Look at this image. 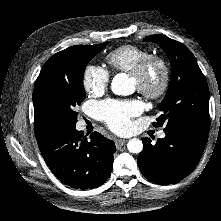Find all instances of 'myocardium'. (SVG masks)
Masks as SVG:
<instances>
[{"mask_svg": "<svg viewBox=\"0 0 221 221\" xmlns=\"http://www.w3.org/2000/svg\"><path fill=\"white\" fill-rule=\"evenodd\" d=\"M154 70L159 71L160 79L156 84H150L148 78ZM129 74L135 80L139 92L150 99L164 96L171 82V72L167 61L154 54L146 57Z\"/></svg>", "mask_w": 221, "mask_h": 221, "instance_id": "myocardium-1", "label": "myocardium"}]
</instances>
